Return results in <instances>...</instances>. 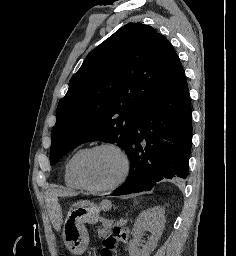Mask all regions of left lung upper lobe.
I'll use <instances>...</instances> for the list:
<instances>
[{
  "mask_svg": "<svg viewBox=\"0 0 236 256\" xmlns=\"http://www.w3.org/2000/svg\"><path fill=\"white\" fill-rule=\"evenodd\" d=\"M184 73L170 42L151 26L120 28L70 79L57 107L51 165L91 140L116 142L127 151L137 117Z\"/></svg>",
  "mask_w": 236,
  "mask_h": 256,
  "instance_id": "5c2ea615",
  "label": "left lung upper lobe"
}]
</instances>
